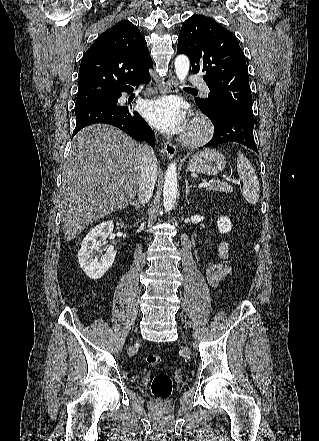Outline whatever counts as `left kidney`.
Instances as JSON below:
<instances>
[{"mask_svg":"<svg viewBox=\"0 0 319 441\" xmlns=\"http://www.w3.org/2000/svg\"><path fill=\"white\" fill-rule=\"evenodd\" d=\"M217 226H218L220 233H222V234H226V233L230 232V230L232 228L231 221L227 216H221L218 219Z\"/></svg>","mask_w":319,"mask_h":441,"instance_id":"left-kidney-1","label":"left kidney"}]
</instances>
